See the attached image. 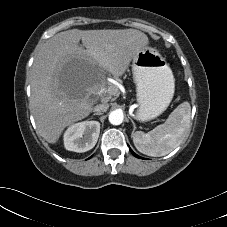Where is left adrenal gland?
I'll return each instance as SVG.
<instances>
[{
    "mask_svg": "<svg viewBox=\"0 0 227 227\" xmlns=\"http://www.w3.org/2000/svg\"><path fill=\"white\" fill-rule=\"evenodd\" d=\"M131 122H132V124H133V126H134V128H135L136 126H135V123H134V121H133V120H131Z\"/></svg>",
    "mask_w": 227,
    "mask_h": 227,
    "instance_id": "left-adrenal-gland-1",
    "label": "left adrenal gland"
}]
</instances>
